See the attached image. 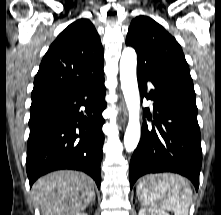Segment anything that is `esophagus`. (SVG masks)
I'll return each instance as SVG.
<instances>
[{
  "label": "esophagus",
  "mask_w": 221,
  "mask_h": 215,
  "mask_svg": "<svg viewBox=\"0 0 221 215\" xmlns=\"http://www.w3.org/2000/svg\"><path fill=\"white\" fill-rule=\"evenodd\" d=\"M120 112H121L120 122L125 124L127 121V110H126L124 102H121L120 104Z\"/></svg>",
  "instance_id": "1"
}]
</instances>
